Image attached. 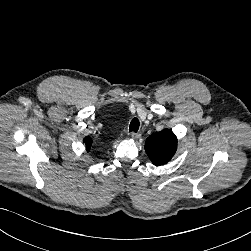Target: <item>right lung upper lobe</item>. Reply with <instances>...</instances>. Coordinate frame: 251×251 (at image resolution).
<instances>
[{"instance_id":"cb5924a9","label":"right lung upper lobe","mask_w":251,"mask_h":251,"mask_svg":"<svg viewBox=\"0 0 251 251\" xmlns=\"http://www.w3.org/2000/svg\"><path fill=\"white\" fill-rule=\"evenodd\" d=\"M84 143H85V145H86V148L89 150L90 147H91V143H92L91 138H90L89 136H88V137H85Z\"/></svg>"}]
</instances>
